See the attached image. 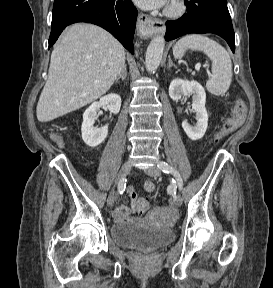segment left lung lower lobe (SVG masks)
Wrapping results in <instances>:
<instances>
[{"label":"left lung lower lobe","instance_id":"obj_1","mask_svg":"<svg viewBox=\"0 0 273 288\" xmlns=\"http://www.w3.org/2000/svg\"><path fill=\"white\" fill-rule=\"evenodd\" d=\"M187 12L166 22V41L189 33H214L224 38L235 52L234 31L227 0H186Z\"/></svg>","mask_w":273,"mask_h":288}]
</instances>
